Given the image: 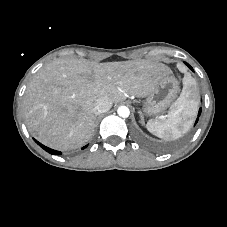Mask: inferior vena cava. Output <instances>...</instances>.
Wrapping results in <instances>:
<instances>
[{"instance_id":"1","label":"inferior vena cava","mask_w":227,"mask_h":227,"mask_svg":"<svg viewBox=\"0 0 227 227\" xmlns=\"http://www.w3.org/2000/svg\"><path fill=\"white\" fill-rule=\"evenodd\" d=\"M112 107V101L108 97H101L95 103L93 112L98 115L108 111Z\"/></svg>"}]
</instances>
